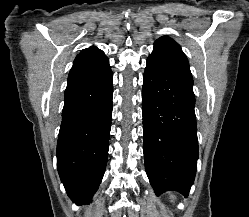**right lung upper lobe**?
Instances as JSON below:
<instances>
[{"instance_id": "obj_1", "label": "right lung upper lobe", "mask_w": 249, "mask_h": 217, "mask_svg": "<svg viewBox=\"0 0 249 217\" xmlns=\"http://www.w3.org/2000/svg\"><path fill=\"white\" fill-rule=\"evenodd\" d=\"M99 53H102V51L100 49L92 46V47H89V48L83 50L80 54H78L76 59L91 56V55H95V54H99Z\"/></svg>"}]
</instances>
